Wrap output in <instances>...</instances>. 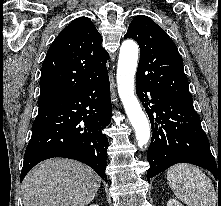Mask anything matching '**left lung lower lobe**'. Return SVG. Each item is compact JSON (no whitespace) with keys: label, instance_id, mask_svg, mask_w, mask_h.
<instances>
[{"label":"left lung lower lobe","instance_id":"1","mask_svg":"<svg viewBox=\"0 0 221 206\" xmlns=\"http://www.w3.org/2000/svg\"><path fill=\"white\" fill-rule=\"evenodd\" d=\"M136 93L152 124V140L147 152L150 163L148 182L170 166L183 162L206 168L220 180L221 168L216 166L193 104L166 99L137 83Z\"/></svg>","mask_w":221,"mask_h":206}]
</instances>
